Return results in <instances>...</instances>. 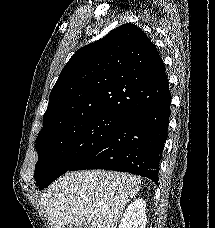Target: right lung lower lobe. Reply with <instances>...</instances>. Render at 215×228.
<instances>
[{
    "instance_id": "1",
    "label": "right lung lower lobe",
    "mask_w": 215,
    "mask_h": 228,
    "mask_svg": "<svg viewBox=\"0 0 215 228\" xmlns=\"http://www.w3.org/2000/svg\"><path fill=\"white\" fill-rule=\"evenodd\" d=\"M168 86V80L166 79ZM170 92L126 116L69 171L106 169L130 172L158 183L159 164L168 137Z\"/></svg>"
}]
</instances>
